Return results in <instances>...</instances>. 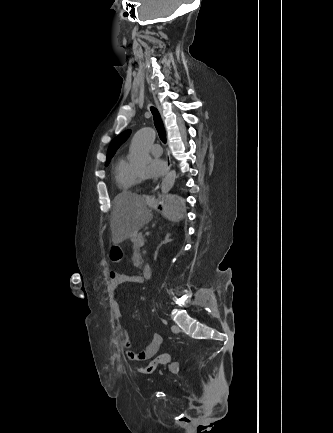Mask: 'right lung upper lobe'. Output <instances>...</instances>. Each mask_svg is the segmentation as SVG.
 <instances>
[{
    "label": "right lung upper lobe",
    "mask_w": 333,
    "mask_h": 433,
    "mask_svg": "<svg viewBox=\"0 0 333 433\" xmlns=\"http://www.w3.org/2000/svg\"><path fill=\"white\" fill-rule=\"evenodd\" d=\"M131 131L127 130L124 131L123 133H121L119 136H117L116 138H114L109 146L108 149V154H107V159H106V165L109 164L111 158L114 156L116 150L119 148V146L125 142L127 140V138L129 137Z\"/></svg>",
    "instance_id": "cb5924a9"
}]
</instances>
